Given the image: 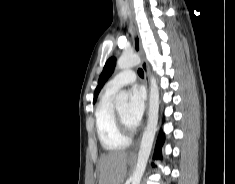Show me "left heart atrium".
<instances>
[{
	"label": "left heart atrium",
	"mask_w": 235,
	"mask_h": 184,
	"mask_svg": "<svg viewBox=\"0 0 235 184\" xmlns=\"http://www.w3.org/2000/svg\"><path fill=\"white\" fill-rule=\"evenodd\" d=\"M145 109V98L141 90L135 88L131 91L130 104L128 107L127 121L136 128L140 125Z\"/></svg>",
	"instance_id": "left-heart-atrium-1"
}]
</instances>
